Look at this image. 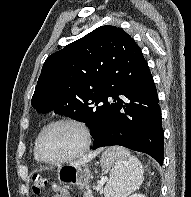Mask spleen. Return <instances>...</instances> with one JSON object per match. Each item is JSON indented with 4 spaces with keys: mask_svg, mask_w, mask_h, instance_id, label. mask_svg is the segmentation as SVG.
I'll return each mask as SVG.
<instances>
[{
    "mask_svg": "<svg viewBox=\"0 0 191 197\" xmlns=\"http://www.w3.org/2000/svg\"><path fill=\"white\" fill-rule=\"evenodd\" d=\"M108 150L116 162L106 186V197H127L142 184V164L126 148L114 146Z\"/></svg>",
    "mask_w": 191,
    "mask_h": 197,
    "instance_id": "1",
    "label": "spleen"
}]
</instances>
